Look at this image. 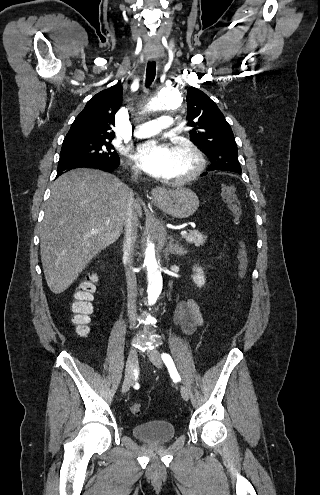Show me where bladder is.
<instances>
[{"label": "bladder", "mask_w": 320, "mask_h": 495, "mask_svg": "<svg viewBox=\"0 0 320 495\" xmlns=\"http://www.w3.org/2000/svg\"><path fill=\"white\" fill-rule=\"evenodd\" d=\"M133 434L148 443H165L174 438L176 429L171 422L155 420L136 424Z\"/></svg>", "instance_id": "bladder-1"}]
</instances>
